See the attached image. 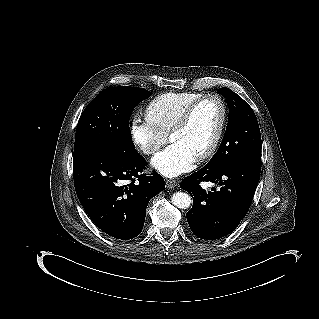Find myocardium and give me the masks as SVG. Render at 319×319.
<instances>
[{
  "label": "myocardium",
  "mask_w": 319,
  "mask_h": 319,
  "mask_svg": "<svg viewBox=\"0 0 319 319\" xmlns=\"http://www.w3.org/2000/svg\"><path fill=\"white\" fill-rule=\"evenodd\" d=\"M209 102L216 104V106L218 104V106H217L218 116H217L216 127H215V130H214L213 135L211 137V140L208 142V144L204 148L197 151V152H199L198 155L201 158L205 157L207 155H210L213 152V150L216 148V146L219 142V139L221 137V134H222L224 119H225V109H224L223 104L221 103L220 98L216 95H209V96L203 97V99H201V100H198L197 102L192 104L183 113V115L179 118L178 122L175 124V127L173 128L174 133H176L177 131H180V129L183 130V126L186 124V121L188 120V118L190 117L189 120L191 119V117H192L191 114L193 112H195V110H197V108H199L203 104L209 103ZM174 133H173V135H174Z\"/></svg>",
  "instance_id": "myocardium-1"
}]
</instances>
